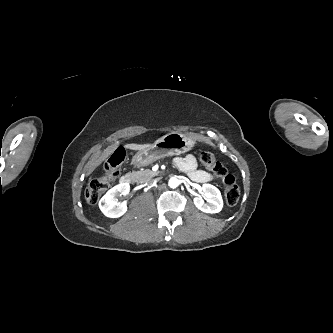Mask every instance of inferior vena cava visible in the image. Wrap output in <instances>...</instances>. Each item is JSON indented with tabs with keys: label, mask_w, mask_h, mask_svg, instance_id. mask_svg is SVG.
Here are the masks:
<instances>
[{
	"label": "inferior vena cava",
	"mask_w": 333,
	"mask_h": 333,
	"mask_svg": "<svg viewBox=\"0 0 333 333\" xmlns=\"http://www.w3.org/2000/svg\"><path fill=\"white\" fill-rule=\"evenodd\" d=\"M155 183V181H150L149 185H153Z\"/></svg>",
	"instance_id": "1"
}]
</instances>
